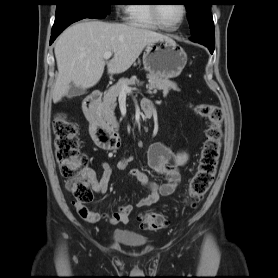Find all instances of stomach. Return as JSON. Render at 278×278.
<instances>
[{"label":"stomach","instance_id":"stomach-1","mask_svg":"<svg viewBox=\"0 0 278 278\" xmlns=\"http://www.w3.org/2000/svg\"><path fill=\"white\" fill-rule=\"evenodd\" d=\"M187 63V54L173 39L166 38L147 44L143 65L150 75L163 78L178 77Z\"/></svg>","mask_w":278,"mask_h":278}]
</instances>
